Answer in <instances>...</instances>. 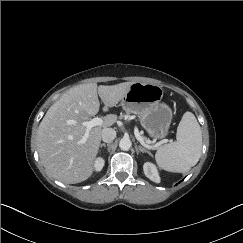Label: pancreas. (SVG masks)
I'll return each mask as SVG.
<instances>
[{"instance_id":"cf45deb5","label":"pancreas","mask_w":243,"mask_h":243,"mask_svg":"<svg viewBox=\"0 0 243 243\" xmlns=\"http://www.w3.org/2000/svg\"><path fill=\"white\" fill-rule=\"evenodd\" d=\"M126 118V117H128V115H122L120 118ZM142 138L147 142V143H149L150 141H149V139H147L146 137H144V136H142Z\"/></svg>"}]
</instances>
